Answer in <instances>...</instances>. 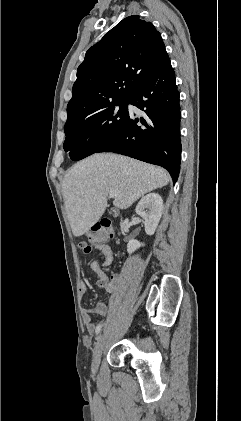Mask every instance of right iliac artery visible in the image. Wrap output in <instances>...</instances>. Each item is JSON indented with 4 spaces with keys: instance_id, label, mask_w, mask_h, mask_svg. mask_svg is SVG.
<instances>
[{
    "instance_id": "82829eb1",
    "label": "right iliac artery",
    "mask_w": 241,
    "mask_h": 421,
    "mask_svg": "<svg viewBox=\"0 0 241 421\" xmlns=\"http://www.w3.org/2000/svg\"><path fill=\"white\" fill-rule=\"evenodd\" d=\"M102 330V325H99L96 330V334L99 335Z\"/></svg>"
}]
</instances>
